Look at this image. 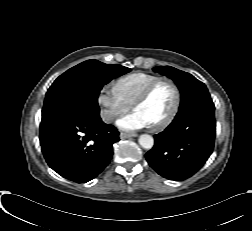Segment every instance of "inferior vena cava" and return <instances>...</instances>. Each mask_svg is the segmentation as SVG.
Segmentation results:
<instances>
[{
  "mask_svg": "<svg viewBox=\"0 0 252 231\" xmlns=\"http://www.w3.org/2000/svg\"><path fill=\"white\" fill-rule=\"evenodd\" d=\"M101 118L104 122L110 123L114 119V114L110 112L109 110H104L101 113Z\"/></svg>",
  "mask_w": 252,
  "mask_h": 231,
  "instance_id": "inferior-vena-cava-1",
  "label": "inferior vena cava"
}]
</instances>
